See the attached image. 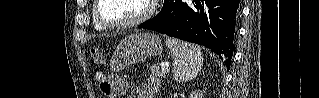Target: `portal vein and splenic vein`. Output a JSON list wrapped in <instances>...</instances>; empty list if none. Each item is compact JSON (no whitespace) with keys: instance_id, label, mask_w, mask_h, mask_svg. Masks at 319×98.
Here are the masks:
<instances>
[{"instance_id":"18ae733b","label":"portal vein and splenic vein","mask_w":319,"mask_h":98,"mask_svg":"<svg viewBox=\"0 0 319 98\" xmlns=\"http://www.w3.org/2000/svg\"><path fill=\"white\" fill-rule=\"evenodd\" d=\"M162 68H163V70L168 71L169 70V64L168 63H163L162 64Z\"/></svg>"}]
</instances>
